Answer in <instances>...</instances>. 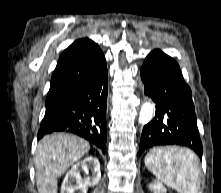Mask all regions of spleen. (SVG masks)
Here are the masks:
<instances>
[{"label": "spleen", "instance_id": "spleen-1", "mask_svg": "<svg viewBox=\"0 0 221 193\" xmlns=\"http://www.w3.org/2000/svg\"><path fill=\"white\" fill-rule=\"evenodd\" d=\"M144 163L168 187L179 193H197L200 169L194 152L174 146H154Z\"/></svg>", "mask_w": 221, "mask_h": 193}]
</instances>
